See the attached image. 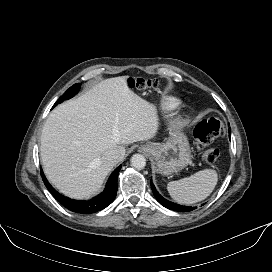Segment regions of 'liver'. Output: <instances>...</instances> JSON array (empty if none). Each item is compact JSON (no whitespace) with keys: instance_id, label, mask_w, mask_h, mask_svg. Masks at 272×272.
Segmentation results:
<instances>
[{"instance_id":"liver-1","label":"liver","mask_w":272,"mask_h":272,"mask_svg":"<svg viewBox=\"0 0 272 272\" xmlns=\"http://www.w3.org/2000/svg\"><path fill=\"white\" fill-rule=\"evenodd\" d=\"M128 76L101 81L77 99L57 106L41 134L45 175L61 193L76 199L96 194L114 165L103 155L125 144L150 140L158 130L156 109L127 85Z\"/></svg>"}]
</instances>
